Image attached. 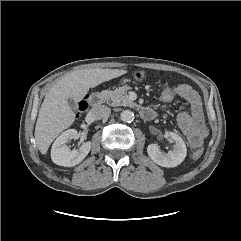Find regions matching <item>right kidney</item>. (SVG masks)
I'll return each mask as SVG.
<instances>
[{"label": "right kidney", "mask_w": 241, "mask_h": 241, "mask_svg": "<svg viewBox=\"0 0 241 241\" xmlns=\"http://www.w3.org/2000/svg\"><path fill=\"white\" fill-rule=\"evenodd\" d=\"M77 137L75 129H69L63 132L53 143L51 149L52 161L64 167H73L79 164L90 152L91 142L84 143L80 148L71 150L66 143Z\"/></svg>", "instance_id": "1"}]
</instances>
